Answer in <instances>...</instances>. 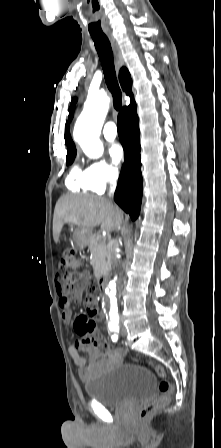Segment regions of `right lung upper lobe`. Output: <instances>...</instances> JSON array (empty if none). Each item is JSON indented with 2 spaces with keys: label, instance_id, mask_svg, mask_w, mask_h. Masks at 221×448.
Returning <instances> with one entry per match:
<instances>
[{
  "label": "right lung upper lobe",
  "instance_id": "1",
  "mask_svg": "<svg viewBox=\"0 0 221 448\" xmlns=\"http://www.w3.org/2000/svg\"><path fill=\"white\" fill-rule=\"evenodd\" d=\"M119 81H120V84H121L123 90L126 92V94L128 96H130V102L134 101L133 94H132V80H131L128 70L124 67L120 70ZM75 102H76V100L74 99L72 101V105L69 109V119L70 120L73 117V108H74ZM65 143L68 147L67 154L76 153L75 144L73 143V141L70 137L68 122H66V125H65Z\"/></svg>",
  "mask_w": 221,
  "mask_h": 448
}]
</instances>
